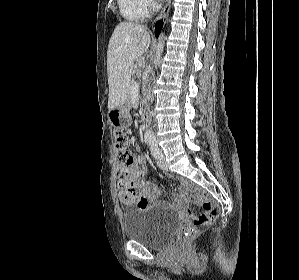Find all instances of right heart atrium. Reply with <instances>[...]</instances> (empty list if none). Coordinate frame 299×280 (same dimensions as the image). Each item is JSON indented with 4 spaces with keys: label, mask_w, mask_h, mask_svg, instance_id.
<instances>
[{
    "label": "right heart atrium",
    "mask_w": 299,
    "mask_h": 280,
    "mask_svg": "<svg viewBox=\"0 0 299 280\" xmlns=\"http://www.w3.org/2000/svg\"><path fill=\"white\" fill-rule=\"evenodd\" d=\"M142 2L147 10H151L156 6L155 0H142Z\"/></svg>",
    "instance_id": "obj_1"
}]
</instances>
